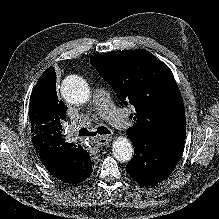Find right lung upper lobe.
I'll list each match as a JSON object with an SVG mask.
<instances>
[{
    "mask_svg": "<svg viewBox=\"0 0 219 219\" xmlns=\"http://www.w3.org/2000/svg\"><path fill=\"white\" fill-rule=\"evenodd\" d=\"M67 106L58 99L56 93V74L53 67H49L39 78L33 88L30 104L29 119L31 122L32 143L39 151V155L46 165L56 176L71 178L73 167L71 161L63 152L49 157L53 151L68 150L69 147L77 146L65 142L62 134V123L66 121ZM84 157L90 159L86 151Z\"/></svg>",
    "mask_w": 219,
    "mask_h": 219,
    "instance_id": "1",
    "label": "right lung upper lobe"
}]
</instances>
